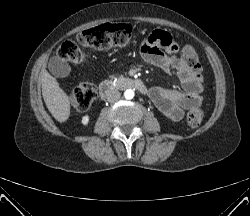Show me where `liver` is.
Instances as JSON below:
<instances>
[{
    "mask_svg": "<svg viewBox=\"0 0 250 216\" xmlns=\"http://www.w3.org/2000/svg\"><path fill=\"white\" fill-rule=\"evenodd\" d=\"M42 95L52 116L59 122H65L70 116V100L59 86L57 80L46 70L41 72Z\"/></svg>",
    "mask_w": 250,
    "mask_h": 216,
    "instance_id": "1",
    "label": "liver"
}]
</instances>
